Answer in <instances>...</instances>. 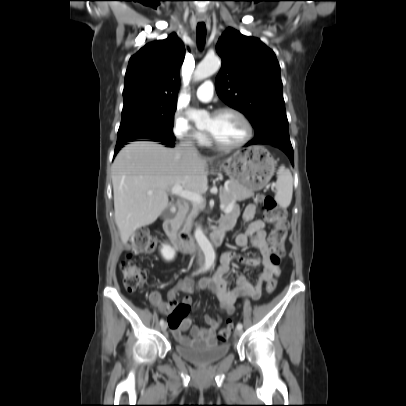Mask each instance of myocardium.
Returning <instances> with one entry per match:
<instances>
[{"label":"myocardium","mask_w":406,"mask_h":406,"mask_svg":"<svg viewBox=\"0 0 406 406\" xmlns=\"http://www.w3.org/2000/svg\"><path fill=\"white\" fill-rule=\"evenodd\" d=\"M223 113H233L237 117H239V119L243 122L245 129H246L245 136L237 143L225 144V143H222L221 141H219L210 131L205 130L211 143L214 144L216 147L223 149V150L237 149V148L242 147L246 143H248L253 136V126H252L251 122L249 121V119L247 118V116L239 109H237L235 107H229V106L217 109L212 115L217 116V115H220Z\"/></svg>","instance_id":"myocardium-1"}]
</instances>
